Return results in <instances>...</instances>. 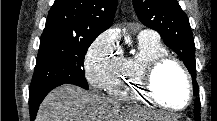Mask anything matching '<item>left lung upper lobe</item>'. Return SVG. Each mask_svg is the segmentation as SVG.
<instances>
[{
    "label": "left lung upper lobe",
    "instance_id": "5c2ea615",
    "mask_svg": "<svg viewBox=\"0 0 217 121\" xmlns=\"http://www.w3.org/2000/svg\"><path fill=\"white\" fill-rule=\"evenodd\" d=\"M139 20L156 30L164 43L182 59L193 77L194 95H198L195 67V44L186 14L177 0H133ZM195 119L200 121V100L195 101Z\"/></svg>",
    "mask_w": 217,
    "mask_h": 121
}]
</instances>
